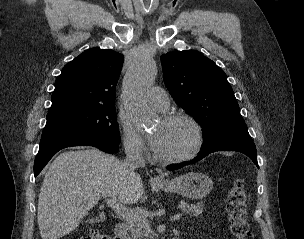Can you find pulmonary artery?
Wrapping results in <instances>:
<instances>
[{"label": "pulmonary artery", "mask_w": 304, "mask_h": 239, "mask_svg": "<svg viewBox=\"0 0 304 239\" xmlns=\"http://www.w3.org/2000/svg\"><path fill=\"white\" fill-rule=\"evenodd\" d=\"M149 103L159 110H166L169 107V97L160 87H152L147 93Z\"/></svg>", "instance_id": "obj_1"}]
</instances>
